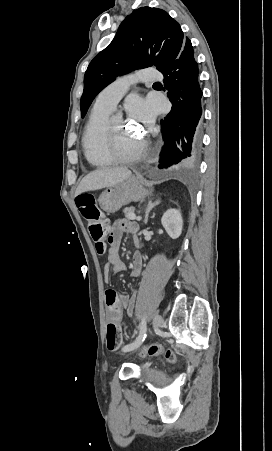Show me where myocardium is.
Instances as JSON below:
<instances>
[{
  "label": "myocardium",
  "instance_id": "f54148a6",
  "mask_svg": "<svg viewBox=\"0 0 272 451\" xmlns=\"http://www.w3.org/2000/svg\"><path fill=\"white\" fill-rule=\"evenodd\" d=\"M112 120L113 119H107V121L105 122V125L103 127L102 130V139L111 144L112 148H115L117 145L115 143V139H114V135H113V131H112ZM138 152V147H135L133 150H130L127 154V156L124 157H120L119 160L120 161H128L130 159H132L133 157H135L136 153Z\"/></svg>",
  "mask_w": 272,
  "mask_h": 451
}]
</instances>
